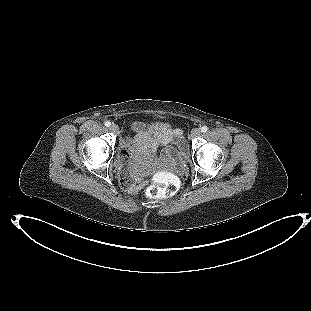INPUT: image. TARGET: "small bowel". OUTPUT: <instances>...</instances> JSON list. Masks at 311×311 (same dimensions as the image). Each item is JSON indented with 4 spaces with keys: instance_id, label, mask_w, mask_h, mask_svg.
Returning a JSON list of instances; mask_svg holds the SVG:
<instances>
[{
    "instance_id": "small-bowel-1",
    "label": "small bowel",
    "mask_w": 311,
    "mask_h": 311,
    "mask_svg": "<svg viewBox=\"0 0 311 311\" xmlns=\"http://www.w3.org/2000/svg\"><path fill=\"white\" fill-rule=\"evenodd\" d=\"M133 128L138 137L143 141L144 148L148 152L155 151L158 147L174 143L177 146V149L170 150L168 152V156H175L178 165H182V161L185 159L187 151L181 136V131L179 129L174 128L165 122H157L152 125L135 123ZM123 144L125 146L129 145L130 139H124ZM121 172L126 179L125 187L132 189L134 185L131 181V178H137L140 176L142 172V165L135 166L130 171L126 170L125 168H121Z\"/></svg>"
}]
</instances>
